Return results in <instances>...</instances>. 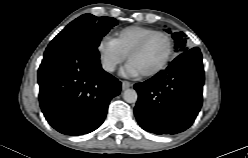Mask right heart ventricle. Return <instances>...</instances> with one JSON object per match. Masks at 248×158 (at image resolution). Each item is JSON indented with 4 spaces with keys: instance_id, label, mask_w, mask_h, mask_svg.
<instances>
[{
    "instance_id": "right-heart-ventricle-1",
    "label": "right heart ventricle",
    "mask_w": 248,
    "mask_h": 158,
    "mask_svg": "<svg viewBox=\"0 0 248 158\" xmlns=\"http://www.w3.org/2000/svg\"><path fill=\"white\" fill-rule=\"evenodd\" d=\"M155 31L153 28L132 25L121 28L113 33V41L120 50L128 55L129 51L147 34Z\"/></svg>"
}]
</instances>
